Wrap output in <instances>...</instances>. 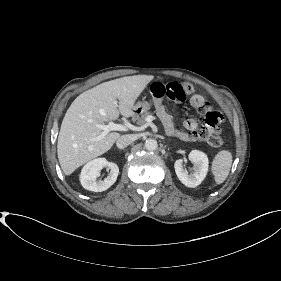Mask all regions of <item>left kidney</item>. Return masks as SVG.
<instances>
[{
	"label": "left kidney",
	"mask_w": 281,
	"mask_h": 281,
	"mask_svg": "<svg viewBox=\"0 0 281 281\" xmlns=\"http://www.w3.org/2000/svg\"><path fill=\"white\" fill-rule=\"evenodd\" d=\"M194 165V171L189 174L184 168L183 160L178 159L174 163V168L178 179L187 187H197L205 179L208 172V157L205 153L192 150L188 156Z\"/></svg>",
	"instance_id": "obj_1"
}]
</instances>
